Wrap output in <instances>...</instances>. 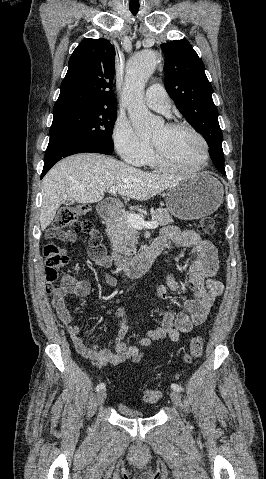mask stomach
<instances>
[{"instance_id": "0dacf381", "label": "stomach", "mask_w": 266, "mask_h": 479, "mask_svg": "<svg viewBox=\"0 0 266 479\" xmlns=\"http://www.w3.org/2000/svg\"><path fill=\"white\" fill-rule=\"evenodd\" d=\"M223 186L209 172L174 184L166 196V209L176 218L195 220L212 214L223 202Z\"/></svg>"}]
</instances>
